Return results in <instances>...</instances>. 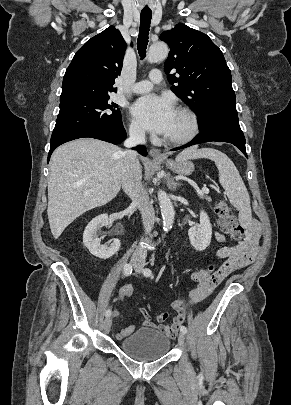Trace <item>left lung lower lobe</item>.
I'll use <instances>...</instances> for the list:
<instances>
[{"label":"left lung lower lobe","instance_id":"left-lung-lower-lobe-1","mask_svg":"<svg viewBox=\"0 0 291 405\" xmlns=\"http://www.w3.org/2000/svg\"><path fill=\"white\" fill-rule=\"evenodd\" d=\"M201 131L194 140L174 150L187 148L195 144L219 141L232 143L248 157L245 148V137L240 128L237 114L230 112L219 113Z\"/></svg>","mask_w":291,"mask_h":405}]
</instances>
